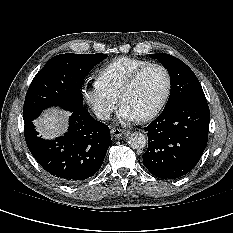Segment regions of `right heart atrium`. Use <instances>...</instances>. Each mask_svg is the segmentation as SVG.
Segmentation results:
<instances>
[{"instance_id": "obj_1", "label": "right heart atrium", "mask_w": 233, "mask_h": 233, "mask_svg": "<svg viewBox=\"0 0 233 233\" xmlns=\"http://www.w3.org/2000/svg\"><path fill=\"white\" fill-rule=\"evenodd\" d=\"M82 96L95 115L102 120L108 119L118 105V98L98 78L83 86Z\"/></svg>"}]
</instances>
